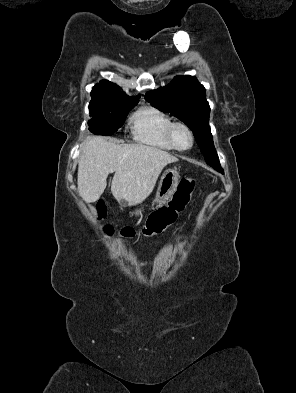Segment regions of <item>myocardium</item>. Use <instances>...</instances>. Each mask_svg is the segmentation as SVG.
Returning a JSON list of instances; mask_svg holds the SVG:
<instances>
[{
  "mask_svg": "<svg viewBox=\"0 0 296 393\" xmlns=\"http://www.w3.org/2000/svg\"><path fill=\"white\" fill-rule=\"evenodd\" d=\"M177 127L185 128L188 131L189 135H190L191 143H190V145L187 148L179 147L177 145L176 141H175L174 132H175ZM167 136H168V140L171 143V145L173 146V148L178 150V151H187V150L191 149L193 147L194 143H195V135H194V132H193L192 128L187 123H185L183 121H173L170 124L169 128H168Z\"/></svg>",
  "mask_w": 296,
  "mask_h": 393,
  "instance_id": "obj_1",
  "label": "myocardium"
}]
</instances>
